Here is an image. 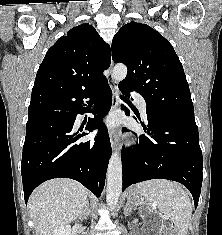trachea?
Segmentation results:
<instances>
[{"mask_svg":"<svg viewBox=\"0 0 222 235\" xmlns=\"http://www.w3.org/2000/svg\"><path fill=\"white\" fill-rule=\"evenodd\" d=\"M122 99H123V100H125V101H127V99H126V98H124V97H122Z\"/></svg>","mask_w":222,"mask_h":235,"instance_id":"obj_1","label":"trachea"}]
</instances>
